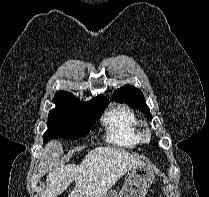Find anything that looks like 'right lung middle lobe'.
I'll use <instances>...</instances> for the list:
<instances>
[{
	"instance_id": "dd1d6c3e",
	"label": "right lung middle lobe",
	"mask_w": 209,
	"mask_h": 197,
	"mask_svg": "<svg viewBox=\"0 0 209 197\" xmlns=\"http://www.w3.org/2000/svg\"><path fill=\"white\" fill-rule=\"evenodd\" d=\"M55 109L48 116V130L44 141L51 138L77 139L90 132L92 121L103 113L108 100H92L79 103L77 98L66 91H59L54 97Z\"/></svg>"
}]
</instances>
